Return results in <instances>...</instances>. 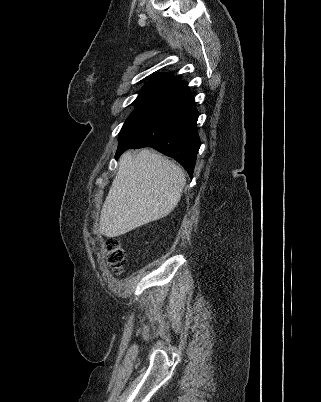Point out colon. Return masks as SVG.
<instances>
[{
	"label": "colon",
	"instance_id": "1",
	"mask_svg": "<svg viewBox=\"0 0 321 402\" xmlns=\"http://www.w3.org/2000/svg\"><path fill=\"white\" fill-rule=\"evenodd\" d=\"M107 262L115 274H119L126 261V253L115 238L106 241Z\"/></svg>",
	"mask_w": 321,
	"mask_h": 402
}]
</instances>
